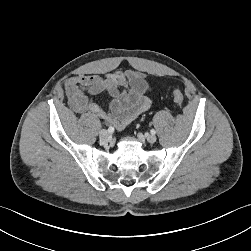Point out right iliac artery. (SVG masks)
<instances>
[{"instance_id": "82829eb1", "label": "right iliac artery", "mask_w": 251, "mask_h": 251, "mask_svg": "<svg viewBox=\"0 0 251 251\" xmlns=\"http://www.w3.org/2000/svg\"><path fill=\"white\" fill-rule=\"evenodd\" d=\"M108 132H109V133H113V132H114V128H113L112 126H110V127L108 128Z\"/></svg>"}]
</instances>
